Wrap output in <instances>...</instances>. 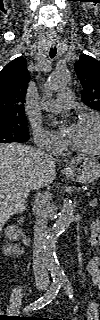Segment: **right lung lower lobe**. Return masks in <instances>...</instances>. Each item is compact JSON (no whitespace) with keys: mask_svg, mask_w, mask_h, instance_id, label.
<instances>
[{"mask_svg":"<svg viewBox=\"0 0 100 320\" xmlns=\"http://www.w3.org/2000/svg\"><path fill=\"white\" fill-rule=\"evenodd\" d=\"M2 142H25V141H22V140H15V139H10V140L2 141Z\"/></svg>","mask_w":100,"mask_h":320,"instance_id":"right-lung-lower-lobe-1","label":"right lung lower lobe"}]
</instances>
